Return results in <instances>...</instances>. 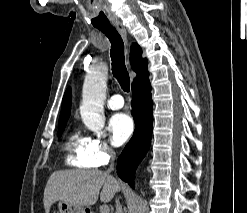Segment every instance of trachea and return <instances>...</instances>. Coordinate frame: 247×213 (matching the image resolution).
Masks as SVG:
<instances>
[{"label": "trachea", "mask_w": 247, "mask_h": 213, "mask_svg": "<svg viewBox=\"0 0 247 213\" xmlns=\"http://www.w3.org/2000/svg\"><path fill=\"white\" fill-rule=\"evenodd\" d=\"M101 30L111 42L112 73L125 92L130 90V77L125 65L124 43L117 30L110 24L95 26Z\"/></svg>", "instance_id": "obj_1"}]
</instances>
